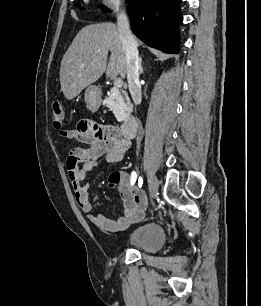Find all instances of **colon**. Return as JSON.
<instances>
[{
  "label": "colon",
  "mask_w": 261,
  "mask_h": 306,
  "mask_svg": "<svg viewBox=\"0 0 261 306\" xmlns=\"http://www.w3.org/2000/svg\"><path fill=\"white\" fill-rule=\"evenodd\" d=\"M52 124L55 129H60L63 125L64 119H65V112L63 107L59 102H54L52 106ZM121 176L118 172H113L110 176V180L112 182H118L120 181Z\"/></svg>",
  "instance_id": "5ec220e1"
}]
</instances>
